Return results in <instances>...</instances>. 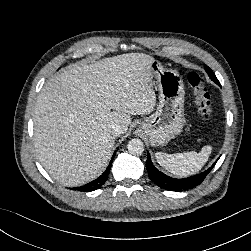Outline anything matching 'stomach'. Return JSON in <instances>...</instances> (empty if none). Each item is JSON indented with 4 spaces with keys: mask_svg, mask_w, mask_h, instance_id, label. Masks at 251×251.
I'll list each match as a JSON object with an SVG mask.
<instances>
[{
    "mask_svg": "<svg viewBox=\"0 0 251 251\" xmlns=\"http://www.w3.org/2000/svg\"><path fill=\"white\" fill-rule=\"evenodd\" d=\"M148 68L152 83L158 87L159 103L151 118L140 122L138 127L149 138L152 146H160L182 132L185 123V91L177 71L164 68L156 59L149 62Z\"/></svg>",
    "mask_w": 251,
    "mask_h": 251,
    "instance_id": "1",
    "label": "stomach"
}]
</instances>
